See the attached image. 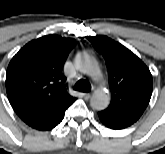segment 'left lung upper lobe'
Listing matches in <instances>:
<instances>
[{
    "label": "left lung upper lobe",
    "instance_id": "1",
    "mask_svg": "<svg viewBox=\"0 0 165 154\" xmlns=\"http://www.w3.org/2000/svg\"><path fill=\"white\" fill-rule=\"evenodd\" d=\"M103 55L109 72L111 103L103 113L131 123L146 109L152 94V75L133 52L106 36H86Z\"/></svg>",
    "mask_w": 165,
    "mask_h": 154
}]
</instances>
